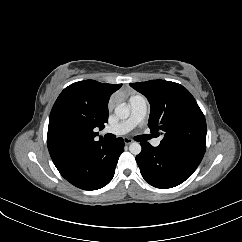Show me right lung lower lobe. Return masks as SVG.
I'll return each mask as SVG.
<instances>
[{
  "mask_svg": "<svg viewBox=\"0 0 242 242\" xmlns=\"http://www.w3.org/2000/svg\"><path fill=\"white\" fill-rule=\"evenodd\" d=\"M124 141H97L80 148L63 160L54 163L60 174L74 186L97 190L113 178Z\"/></svg>",
  "mask_w": 242,
  "mask_h": 242,
  "instance_id": "1",
  "label": "right lung lower lobe"
}]
</instances>
